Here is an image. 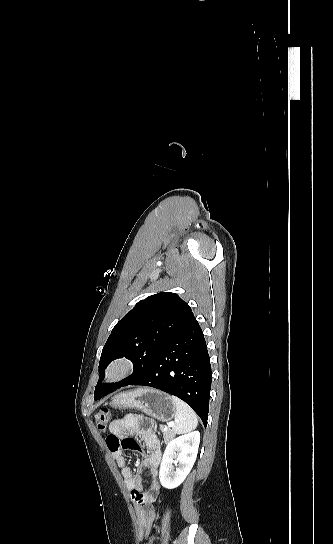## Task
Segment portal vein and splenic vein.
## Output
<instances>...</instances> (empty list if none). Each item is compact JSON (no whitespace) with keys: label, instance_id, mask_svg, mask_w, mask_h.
Here are the masks:
<instances>
[{"label":"portal vein and splenic vein","instance_id":"obj_1","mask_svg":"<svg viewBox=\"0 0 333 544\" xmlns=\"http://www.w3.org/2000/svg\"><path fill=\"white\" fill-rule=\"evenodd\" d=\"M173 426V422L168 423V428ZM168 428H164V431H166Z\"/></svg>","mask_w":333,"mask_h":544}]
</instances>
